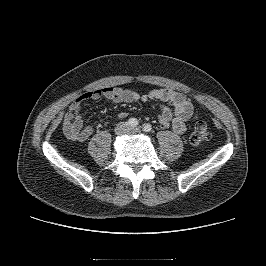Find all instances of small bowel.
<instances>
[{
	"label": "small bowel",
	"mask_w": 266,
	"mask_h": 266,
	"mask_svg": "<svg viewBox=\"0 0 266 266\" xmlns=\"http://www.w3.org/2000/svg\"><path fill=\"white\" fill-rule=\"evenodd\" d=\"M104 99L108 103H133L136 101H158L163 105L158 112V121L165 127H171L177 134H183L187 129V123L196 120L197 112L194 110L192 100L178 91L169 88H158L140 95L139 93L119 87H106L94 89L80 95L69 107L63 116L62 127L67 138L84 142L93 133V127L84 125L81 118L83 103ZM125 112H120L121 118Z\"/></svg>",
	"instance_id": "c3829d8e"
}]
</instances>
